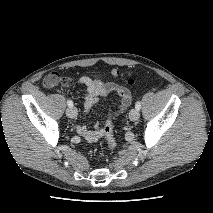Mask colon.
<instances>
[{"mask_svg":"<svg viewBox=\"0 0 213 213\" xmlns=\"http://www.w3.org/2000/svg\"><path fill=\"white\" fill-rule=\"evenodd\" d=\"M52 80H55V78L53 77ZM129 83H132V81L130 80ZM122 94L124 96H128L129 95V91L128 90H123ZM102 136L106 139L107 141V150H113L116 147V140L114 137V129H113V121H112V116L111 114L108 116L103 128H102ZM105 155V149L101 150L99 152V157L102 158Z\"/></svg>","mask_w":213,"mask_h":213,"instance_id":"colon-1","label":"colon"}]
</instances>
